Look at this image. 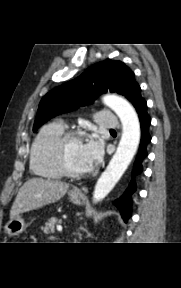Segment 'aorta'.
Masks as SVG:
<instances>
[{"instance_id":"1","label":"aorta","mask_w":181,"mask_h":288,"mask_svg":"<svg viewBox=\"0 0 181 288\" xmlns=\"http://www.w3.org/2000/svg\"><path fill=\"white\" fill-rule=\"evenodd\" d=\"M103 102L119 117L122 123V136L115 154L95 185L93 192L95 203L104 199L117 184L131 163L140 141V123L131 104L115 95L105 96Z\"/></svg>"}]
</instances>
